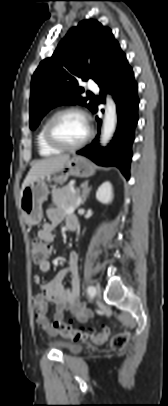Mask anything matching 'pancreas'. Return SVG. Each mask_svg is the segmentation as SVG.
Returning a JSON list of instances; mask_svg holds the SVG:
<instances>
[{
  "mask_svg": "<svg viewBox=\"0 0 168 406\" xmlns=\"http://www.w3.org/2000/svg\"><path fill=\"white\" fill-rule=\"evenodd\" d=\"M78 199V191L72 186L67 185L61 189L52 191V201L58 209L66 211L71 206H75Z\"/></svg>",
  "mask_w": 168,
  "mask_h": 406,
  "instance_id": "cf45deb5",
  "label": "pancreas"
}]
</instances>
